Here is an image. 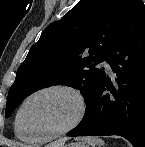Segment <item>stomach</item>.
I'll list each match as a JSON object with an SVG mask.
<instances>
[{
    "instance_id": "stomach-1",
    "label": "stomach",
    "mask_w": 145,
    "mask_h": 147,
    "mask_svg": "<svg viewBox=\"0 0 145 147\" xmlns=\"http://www.w3.org/2000/svg\"><path fill=\"white\" fill-rule=\"evenodd\" d=\"M65 147H87V146L84 143H71V144H68Z\"/></svg>"
}]
</instances>
